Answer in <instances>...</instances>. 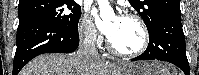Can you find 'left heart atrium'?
<instances>
[{
  "label": "left heart atrium",
  "instance_id": "obj_1",
  "mask_svg": "<svg viewBox=\"0 0 199 75\" xmlns=\"http://www.w3.org/2000/svg\"><path fill=\"white\" fill-rule=\"evenodd\" d=\"M94 14L97 16L98 11L95 9ZM122 17H115L112 21L110 22H103L100 19H98V24L101 32L107 36L108 39H110L116 32L119 23L121 21Z\"/></svg>",
  "mask_w": 199,
  "mask_h": 75
}]
</instances>
